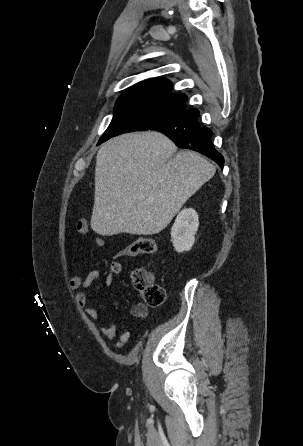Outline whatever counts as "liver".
<instances>
[{
  "label": "liver",
  "instance_id": "obj_1",
  "mask_svg": "<svg viewBox=\"0 0 303 446\" xmlns=\"http://www.w3.org/2000/svg\"><path fill=\"white\" fill-rule=\"evenodd\" d=\"M155 132L123 134L99 149L91 228L103 236L153 235L167 227L183 204L215 174L193 151Z\"/></svg>",
  "mask_w": 303,
  "mask_h": 446
}]
</instances>
